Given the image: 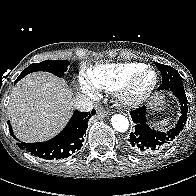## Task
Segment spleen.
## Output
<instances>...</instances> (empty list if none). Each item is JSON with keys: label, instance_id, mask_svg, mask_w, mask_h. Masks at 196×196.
Segmentation results:
<instances>
[{"label": "spleen", "instance_id": "obj_1", "mask_svg": "<svg viewBox=\"0 0 196 196\" xmlns=\"http://www.w3.org/2000/svg\"><path fill=\"white\" fill-rule=\"evenodd\" d=\"M169 122V119H164L162 121L159 122H152V125L157 127V128H163L165 127Z\"/></svg>", "mask_w": 196, "mask_h": 196}]
</instances>
